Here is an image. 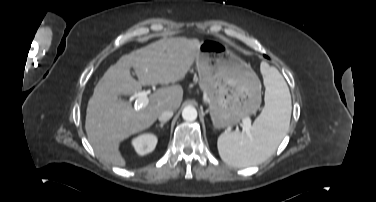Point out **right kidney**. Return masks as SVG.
<instances>
[{
    "label": "right kidney",
    "mask_w": 376,
    "mask_h": 202,
    "mask_svg": "<svg viewBox=\"0 0 376 202\" xmlns=\"http://www.w3.org/2000/svg\"><path fill=\"white\" fill-rule=\"evenodd\" d=\"M157 144V137L153 133H143L132 140V145L139 155L152 152Z\"/></svg>",
    "instance_id": "1"
}]
</instances>
